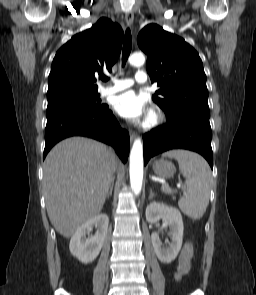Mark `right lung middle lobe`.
<instances>
[{"label": "right lung middle lobe", "mask_w": 256, "mask_h": 295, "mask_svg": "<svg viewBox=\"0 0 256 295\" xmlns=\"http://www.w3.org/2000/svg\"><path fill=\"white\" fill-rule=\"evenodd\" d=\"M98 93H84V92H72L64 94L53 100H48V104L57 103V104H70L77 105L83 108H100L105 104H101V101L98 99Z\"/></svg>", "instance_id": "right-lung-middle-lobe-1"}]
</instances>
